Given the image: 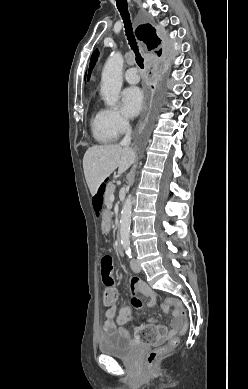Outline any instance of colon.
Masks as SVG:
<instances>
[{
  "instance_id": "1",
  "label": "colon",
  "mask_w": 248,
  "mask_h": 389,
  "mask_svg": "<svg viewBox=\"0 0 248 389\" xmlns=\"http://www.w3.org/2000/svg\"><path fill=\"white\" fill-rule=\"evenodd\" d=\"M98 190L102 191L103 187L99 186ZM92 199V205L94 206L95 210H100V207L103 205V201L105 199L104 194H93ZM113 265L114 260L111 256H104L101 259L102 278L104 284L108 287L114 286L116 284V281L112 279L111 276ZM116 300L117 294L115 292L107 291L103 293V302L105 305L114 303ZM162 305L166 308L170 306L174 308V312L178 320L176 324V331H178L179 334L186 332L188 324L186 320V311L183 304L177 298L169 297L162 302ZM147 327L155 328L156 324L148 323ZM167 335V330H151L150 333L148 331L139 332V338L143 344H148L150 340H158L159 337H167ZM178 343L179 337L178 335H174L168 340L166 344L151 350L146 356L147 367L149 369H155L157 362L166 354H168L172 349L177 347Z\"/></svg>"
}]
</instances>
